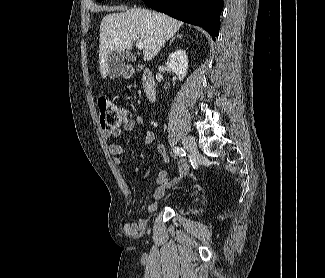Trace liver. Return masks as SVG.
Instances as JSON below:
<instances>
[{
    "label": "liver",
    "instance_id": "obj_1",
    "mask_svg": "<svg viewBox=\"0 0 325 278\" xmlns=\"http://www.w3.org/2000/svg\"><path fill=\"white\" fill-rule=\"evenodd\" d=\"M108 10H124L122 7ZM183 25V22L164 13L133 8L106 15L100 25L99 64L102 78L108 75V54L131 50L134 41L144 42L143 59L152 60Z\"/></svg>",
    "mask_w": 325,
    "mask_h": 278
}]
</instances>
